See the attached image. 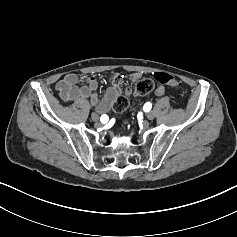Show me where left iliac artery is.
<instances>
[{
    "label": "left iliac artery",
    "mask_w": 237,
    "mask_h": 237,
    "mask_svg": "<svg viewBox=\"0 0 237 237\" xmlns=\"http://www.w3.org/2000/svg\"><path fill=\"white\" fill-rule=\"evenodd\" d=\"M151 108H152V104L150 102H147L143 107L144 111H150Z\"/></svg>",
    "instance_id": "obj_1"
}]
</instances>
